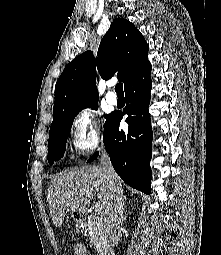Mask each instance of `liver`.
I'll list each match as a JSON object with an SVG mask.
<instances>
[{
	"label": "liver",
	"mask_w": 221,
	"mask_h": 255,
	"mask_svg": "<svg viewBox=\"0 0 221 255\" xmlns=\"http://www.w3.org/2000/svg\"><path fill=\"white\" fill-rule=\"evenodd\" d=\"M115 183L122 186L117 176ZM105 210L111 194L112 184L105 179L101 166H83L58 173L47 189V202L56 227H61L69 211H84L95 194Z\"/></svg>",
	"instance_id": "1"
}]
</instances>
